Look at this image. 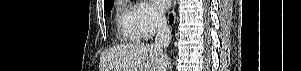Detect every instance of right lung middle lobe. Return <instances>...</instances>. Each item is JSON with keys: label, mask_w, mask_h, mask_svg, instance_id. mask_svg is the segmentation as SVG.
Returning a JSON list of instances; mask_svg holds the SVG:
<instances>
[{"label": "right lung middle lobe", "mask_w": 301, "mask_h": 71, "mask_svg": "<svg viewBox=\"0 0 301 71\" xmlns=\"http://www.w3.org/2000/svg\"><path fill=\"white\" fill-rule=\"evenodd\" d=\"M113 2H114V1H112V2H110V3H108V4L105 5V12H106V13L109 12V11L112 9V7H113Z\"/></svg>", "instance_id": "1"}]
</instances>
